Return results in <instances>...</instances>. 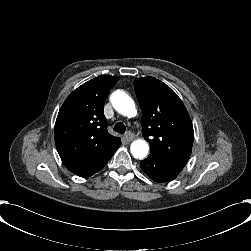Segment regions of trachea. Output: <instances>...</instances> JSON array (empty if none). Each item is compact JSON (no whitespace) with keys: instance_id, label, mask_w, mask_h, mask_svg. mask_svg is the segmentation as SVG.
Returning <instances> with one entry per match:
<instances>
[{"instance_id":"1","label":"trachea","mask_w":251,"mask_h":251,"mask_svg":"<svg viewBox=\"0 0 251 251\" xmlns=\"http://www.w3.org/2000/svg\"><path fill=\"white\" fill-rule=\"evenodd\" d=\"M114 131L120 134H124L126 132V126L122 122H118L114 126Z\"/></svg>"}]
</instances>
